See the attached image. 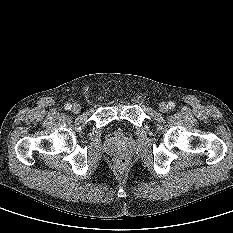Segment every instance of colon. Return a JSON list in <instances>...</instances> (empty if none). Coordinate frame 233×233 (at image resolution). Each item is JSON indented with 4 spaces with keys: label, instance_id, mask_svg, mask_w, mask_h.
<instances>
[{
    "label": "colon",
    "instance_id": "obj_1",
    "mask_svg": "<svg viewBox=\"0 0 233 233\" xmlns=\"http://www.w3.org/2000/svg\"><path fill=\"white\" fill-rule=\"evenodd\" d=\"M118 168H124L127 165V160L123 157H120L115 162Z\"/></svg>",
    "mask_w": 233,
    "mask_h": 233
}]
</instances>
